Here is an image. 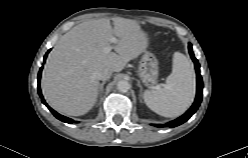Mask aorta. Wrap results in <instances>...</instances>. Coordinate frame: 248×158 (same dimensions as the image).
<instances>
[{"mask_svg": "<svg viewBox=\"0 0 248 158\" xmlns=\"http://www.w3.org/2000/svg\"><path fill=\"white\" fill-rule=\"evenodd\" d=\"M131 85L128 81L126 80H120L117 83V89L120 92H127L130 89Z\"/></svg>", "mask_w": 248, "mask_h": 158, "instance_id": "obj_1", "label": "aorta"}]
</instances>
